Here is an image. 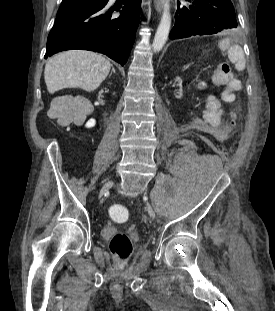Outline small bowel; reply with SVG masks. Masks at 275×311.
<instances>
[{
	"label": "small bowel",
	"instance_id": "small-bowel-1",
	"mask_svg": "<svg viewBox=\"0 0 275 311\" xmlns=\"http://www.w3.org/2000/svg\"><path fill=\"white\" fill-rule=\"evenodd\" d=\"M219 46L223 49L220 50L221 64H216L215 69H211L209 86H207L206 80H191L190 86L198 87V93H204L203 109L201 110L203 122H207V126H216L215 131L220 133V139H231L234 127L233 120L225 122V119L222 117L224 116V109L220 96H217V92H209V87H227V84L234 82L239 84L238 80L234 79L231 73V64H226V62H239V57H243L244 52L239 45L233 44L232 39L228 37L221 39ZM95 124V119L90 118L85 121L84 126L92 128Z\"/></svg>",
	"mask_w": 275,
	"mask_h": 311
}]
</instances>
